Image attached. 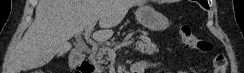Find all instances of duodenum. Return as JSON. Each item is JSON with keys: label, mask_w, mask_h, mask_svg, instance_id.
Instances as JSON below:
<instances>
[{"label": "duodenum", "mask_w": 244, "mask_h": 73, "mask_svg": "<svg viewBox=\"0 0 244 73\" xmlns=\"http://www.w3.org/2000/svg\"><path fill=\"white\" fill-rule=\"evenodd\" d=\"M69 65L73 73H92L93 67L86 60V50L77 48L70 53Z\"/></svg>", "instance_id": "obj_1"}]
</instances>
